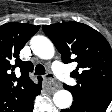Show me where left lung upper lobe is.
<instances>
[{"label": "left lung upper lobe", "mask_w": 112, "mask_h": 112, "mask_svg": "<svg viewBox=\"0 0 112 112\" xmlns=\"http://www.w3.org/2000/svg\"><path fill=\"white\" fill-rule=\"evenodd\" d=\"M42 29L64 63H78L77 69L71 72L77 84H64L74 101L109 105L112 100V49L106 39L90 26L77 22L43 25Z\"/></svg>", "instance_id": "1"}]
</instances>
